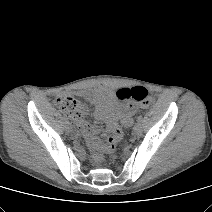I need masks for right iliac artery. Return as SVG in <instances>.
Masks as SVG:
<instances>
[{
  "mask_svg": "<svg viewBox=\"0 0 212 212\" xmlns=\"http://www.w3.org/2000/svg\"><path fill=\"white\" fill-rule=\"evenodd\" d=\"M64 120H65V122H66V123H69V121H68V119H67V118H65V117H64Z\"/></svg>",
  "mask_w": 212,
  "mask_h": 212,
  "instance_id": "right-iliac-artery-1",
  "label": "right iliac artery"
}]
</instances>
